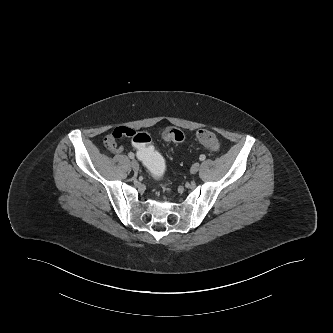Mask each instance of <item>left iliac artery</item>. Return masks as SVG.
<instances>
[{"mask_svg":"<svg viewBox=\"0 0 333 333\" xmlns=\"http://www.w3.org/2000/svg\"><path fill=\"white\" fill-rule=\"evenodd\" d=\"M205 158H206L205 155H200V157H199V159H200L201 161L205 160Z\"/></svg>","mask_w":333,"mask_h":333,"instance_id":"left-iliac-artery-1","label":"left iliac artery"}]
</instances>
